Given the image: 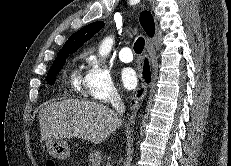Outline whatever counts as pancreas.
<instances>
[{"label":"pancreas","instance_id":"obj_1","mask_svg":"<svg viewBox=\"0 0 231 166\" xmlns=\"http://www.w3.org/2000/svg\"><path fill=\"white\" fill-rule=\"evenodd\" d=\"M88 166H100L102 162L101 152L94 150L88 156Z\"/></svg>","mask_w":231,"mask_h":166}]
</instances>
